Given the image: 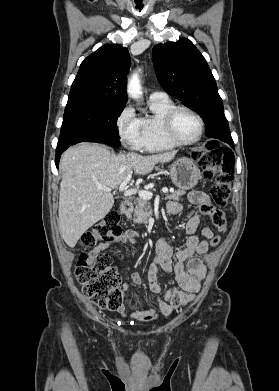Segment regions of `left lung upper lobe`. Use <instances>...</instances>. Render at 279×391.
<instances>
[{"label": "left lung upper lobe", "instance_id": "1", "mask_svg": "<svg viewBox=\"0 0 279 391\" xmlns=\"http://www.w3.org/2000/svg\"><path fill=\"white\" fill-rule=\"evenodd\" d=\"M152 55L159 83L168 94L199 114L206 124L205 135L233 143L215 79L193 43L183 38L158 44Z\"/></svg>", "mask_w": 279, "mask_h": 391}]
</instances>
